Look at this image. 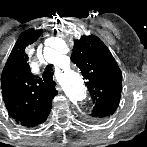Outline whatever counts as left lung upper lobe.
<instances>
[{"label":"left lung upper lobe","instance_id":"obj_1","mask_svg":"<svg viewBox=\"0 0 147 147\" xmlns=\"http://www.w3.org/2000/svg\"><path fill=\"white\" fill-rule=\"evenodd\" d=\"M73 58L87 79L92 103L84 108L95 119L110 116L116 110L122 90V73L109 49L96 36L74 41Z\"/></svg>","mask_w":147,"mask_h":147}]
</instances>
